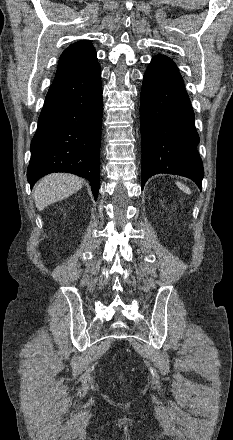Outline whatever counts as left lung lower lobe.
<instances>
[{
	"label": "left lung lower lobe",
	"instance_id": "obj_1",
	"mask_svg": "<svg viewBox=\"0 0 233 440\" xmlns=\"http://www.w3.org/2000/svg\"><path fill=\"white\" fill-rule=\"evenodd\" d=\"M141 184L158 173L181 175L200 188L204 175L194 112L175 63L157 55L143 78L140 98Z\"/></svg>",
	"mask_w": 233,
	"mask_h": 440
}]
</instances>
